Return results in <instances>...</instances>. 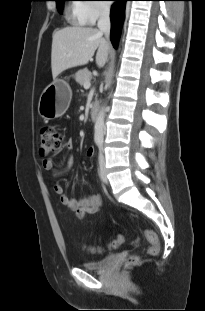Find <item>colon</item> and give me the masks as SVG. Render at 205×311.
Here are the masks:
<instances>
[{
	"label": "colon",
	"instance_id": "1",
	"mask_svg": "<svg viewBox=\"0 0 205 311\" xmlns=\"http://www.w3.org/2000/svg\"><path fill=\"white\" fill-rule=\"evenodd\" d=\"M62 142V134L61 132L53 125H47L42 128L40 132V140H39V150L40 154L43 157H47L48 155L55 153L61 147ZM145 237L150 242L151 246L149 248V253L151 255H156L159 252V239L156 233L151 230L145 231ZM124 242L123 235L119 234L116 238L111 241L107 248L115 249L119 247ZM84 249L89 251L90 253H102L104 251V247L101 246H83ZM136 261V258H131L130 262L133 263Z\"/></svg>",
	"mask_w": 205,
	"mask_h": 311
}]
</instances>
